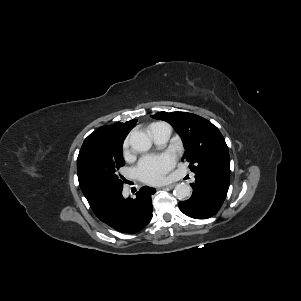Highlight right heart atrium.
Masks as SVG:
<instances>
[{
    "label": "right heart atrium",
    "mask_w": 301,
    "mask_h": 301,
    "mask_svg": "<svg viewBox=\"0 0 301 301\" xmlns=\"http://www.w3.org/2000/svg\"><path fill=\"white\" fill-rule=\"evenodd\" d=\"M123 154H124V157L125 158H128L130 153H129V138H126L124 140V143H123Z\"/></svg>",
    "instance_id": "right-heart-atrium-1"
}]
</instances>
